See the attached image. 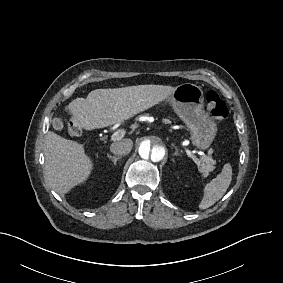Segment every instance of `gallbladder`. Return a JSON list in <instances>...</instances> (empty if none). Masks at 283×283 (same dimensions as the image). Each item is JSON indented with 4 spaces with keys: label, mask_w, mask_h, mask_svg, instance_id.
<instances>
[{
    "label": "gallbladder",
    "mask_w": 283,
    "mask_h": 283,
    "mask_svg": "<svg viewBox=\"0 0 283 283\" xmlns=\"http://www.w3.org/2000/svg\"><path fill=\"white\" fill-rule=\"evenodd\" d=\"M52 127L57 131H62L64 129V123L59 118H53L52 120Z\"/></svg>",
    "instance_id": "gallbladder-1"
}]
</instances>
